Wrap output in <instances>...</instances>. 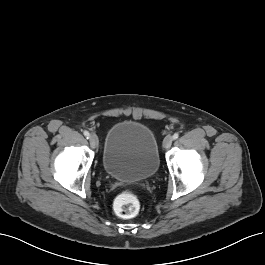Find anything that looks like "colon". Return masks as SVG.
Instances as JSON below:
<instances>
[{"instance_id": "obj_1", "label": "colon", "mask_w": 265, "mask_h": 265, "mask_svg": "<svg viewBox=\"0 0 265 265\" xmlns=\"http://www.w3.org/2000/svg\"><path fill=\"white\" fill-rule=\"evenodd\" d=\"M115 210L122 218H132L139 211V202L135 194L129 191L121 193L115 200Z\"/></svg>"}]
</instances>
